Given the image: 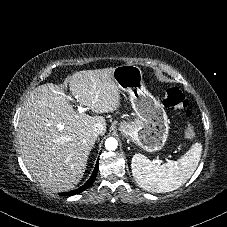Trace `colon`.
Segmentation results:
<instances>
[{
  "mask_svg": "<svg viewBox=\"0 0 227 227\" xmlns=\"http://www.w3.org/2000/svg\"><path fill=\"white\" fill-rule=\"evenodd\" d=\"M163 102L169 110L183 109L186 117L191 116L190 103L178 88L173 87L167 89L164 92ZM185 136L186 138H192L194 136V128L192 125H187Z\"/></svg>",
  "mask_w": 227,
  "mask_h": 227,
  "instance_id": "colon-1",
  "label": "colon"
}]
</instances>
